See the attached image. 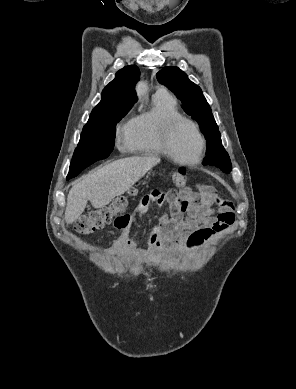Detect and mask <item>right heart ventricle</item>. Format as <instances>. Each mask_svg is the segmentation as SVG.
Returning a JSON list of instances; mask_svg holds the SVG:
<instances>
[{
	"label": "right heart ventricle",
	"mask_w": 296,
	"mask_h": 389,
	"mask_svg": "<svg viewBox=\"0 0 296 389\" xmlns=\"http://www.w3.org/2000/svg\"><path fill=\"white\" fill-rule=\"evenodd\" d=\"M153 108L134 116L127 123V148L142 155L162 156L160 131L163 122L180 115L176 99L167 92H156Z\"/></svg>",
	"instance_id": "right-heart-ventricle-1"
}]
</instances>
